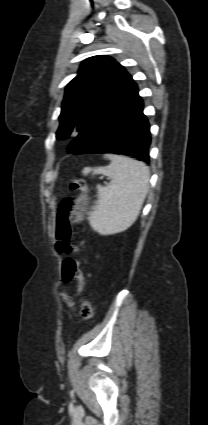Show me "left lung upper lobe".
<instances>
[{
	"mask_svg": "<svg viewBox=\"0 0 208 425\" xmlns=\"http://www.w3.org/2000/svg\"><path fill=\"white\" fill-rule=\"evenodd\" d=\"M133 82L132 77L114 59L94 56L83 61L78 75L66 86L57 139L81 132L101 110ZM68 149L80 154L75 141Z\"/></svg>",
	"mask_w": 208,
	"mask_h": 425,
	"instance_id": "5c2ea615",
	"label": "left lung upper lobe"
}]
</instances>
